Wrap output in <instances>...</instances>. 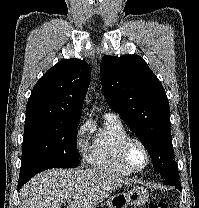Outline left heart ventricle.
<instances>
[{
  "instance_id": "1",
  "label": "left heart ventricle",
  "mask_w": 199,
  "mask_h": 208,
  "mask_svg": "<svg viewBox=\"0 0 199 208\" xmlns=\"http://www.w3.org/2000/svg\"><path fill=\"white\" fill-rule=\"evenodd\" d=\"M129 160L133 166L140 168L145 164L146 155L142 147L137 144L133 143L129 147L128 150Z\"/></svg>"
}]
</instances>
